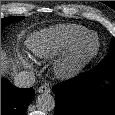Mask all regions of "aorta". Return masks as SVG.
Listing matches in <instances>:
<instances>
[{
    "mask_svg": "<svg viewBox=\"0 0 115 115\" xmlns=\"http://www.w3.org/2000/svg\"><path fill=\"white\" fill-rule=\"evenodd\" d=\"M36 104L42 111H51L55 107V99L51 94L42 93L37 97Z\"/></svg>",
    "mask_w": 115,
    "mask_h": 115,
    "instance_id": "obj_1",
    "label": "aorta"
}]
</instances>
